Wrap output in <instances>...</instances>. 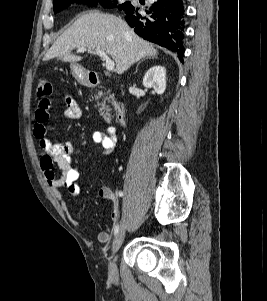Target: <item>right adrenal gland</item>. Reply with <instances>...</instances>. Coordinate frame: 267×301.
Instances as JSON below:
<instances>
[{
	"mask_svg": "<svg viewBox=\"0 0 267 301\" xmlns=\"http://www.w3.org/2000/svg\"><path fill=\"white\" fill-rule=\"evenodd\" d=\"M143 61H144V60L140 61V62L137 64L136 70H137V68H138L139 64H140V63H142Z\"/></svg>",
	"mask_w": 267,
	"mask_h": 301,
	"instance_id": "obj_1",
	"label": "right adrenal gland"
}]
</instances>
